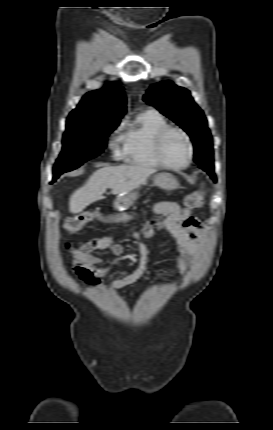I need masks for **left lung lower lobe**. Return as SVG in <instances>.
<instances>
[{"instance_id":"left-lung-lower-lobe-1","label":"left lung lower lobe","mask_w":273,"mask_h":430,"mask_svg":"<svg viewBox=\"0 0 273 430\" xmlns=\"http://www.w3.org/2000/svg\"><path fill=\"white\" fill-rule=\"evenodd\" d=\"M199 168L205 170L206 172H208V174L211 176V178L216 181V176L214 173V164L213 161H209L207 163H202L199 164Z\"/></svg>"}]
</instances>
